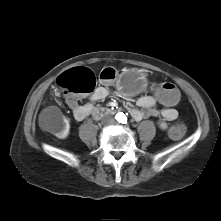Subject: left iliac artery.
Wrapping results in <instances>:
<instances>
[{
  "label": "left iliac artery",
  "instance_id": "obj_1",
  "mask_svg": "<svg viewBox=\"0 0 221 221\" xmlns=\"http://www.w3.org/2000/svg\"><path fill=\"white\" fill-rule=\"evenodd\" d=\"M127 122V118L126 116H124L122 119H121V123L125 124Z\"/></svg>",
  "mask_w": 221,
  "mask_h": 221
}]
</instances>
